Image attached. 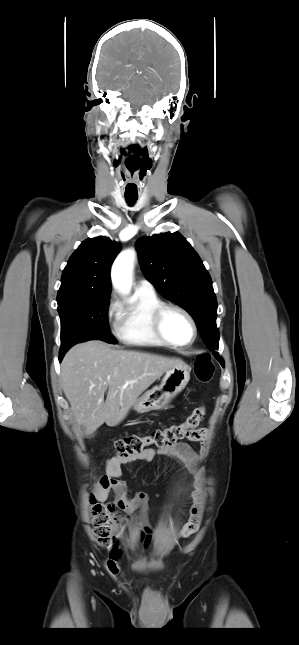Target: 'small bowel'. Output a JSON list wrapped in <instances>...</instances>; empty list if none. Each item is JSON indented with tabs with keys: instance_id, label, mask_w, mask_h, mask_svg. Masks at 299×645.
<instances>
[{
	"instance_id": "1",
	"label": "small bowel",
	"mask_w": 299,
	"mask_h": 645,
	"mask_svg": "<svg viewBox=\"0 0 299 645\" xmlns=\"http://www.w3.org/2000/svg\"><path fill=\"white\" fill-rule=\"evenodd\" d=\"M210 438V433L206 428H198L191 431L186 439L192 442H200L207 444ZM163 456L175 460L180 465L186 467L195 477V490L192 493L193 504L190 507L189 518L182 526L178 533L179 538H184L193 533L199 526L202 510L203 500L201 497V481L203 477L202 469L199 465L195 453L188 443L178 442L170 446L160 449L148 448L139 454L133 455L126 460L113 458L105 464V474L94 485V496L98 501H104L107 498L108 491L114 488H122L125 483L120 479L122 476V465L128 462L144 461L151 462L156 457ZM149 497L146 493L140 492L136 494L134 499L127 501L119 499L117 506L127 512H132L139 509L143 514L148 506ZM120 532H118V536ZM153 530L147 524L137 534V540L145 545H148L152 540ZM121 558V551L118 547V542L114 545L108 564L116 565Z\"/></svg>"
}]
</instances>
